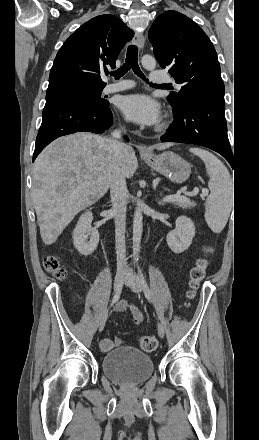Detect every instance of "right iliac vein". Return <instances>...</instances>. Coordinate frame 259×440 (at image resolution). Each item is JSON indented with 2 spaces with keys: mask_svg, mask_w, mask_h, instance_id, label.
<instances>
[{
  "mask_svg": "<svg viewBox=\"0 0 259 440\" xmlns=\"http://www.w3.org/2000/svg\"><path fill=\"white\" fill-rule=\"evenodd\" d=\"M123 280H124V270H120L118 271L115 281H114V292L115 294L120 290L122 284H123ZM108 318V311H105L101 320H100V324H99V331H102L105 323L107 321Z\"/></svg>",
  "mask_w": 259,
  "mask_h": 440,
  "instance_id": "obj_1",
  "label": "right iliac vein"
}]
</instances>
